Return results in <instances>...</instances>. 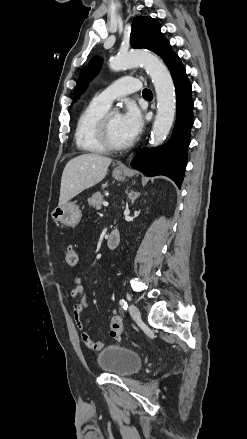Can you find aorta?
Instances as JSON below:
<instances>
[{
    "label": "aorta",
    "mask_w": 247,
    "mask_h": 439,
    "mask_svg": "<svg viewBox=\"0 0 247 439\" xmlns=\"http://www.w3.org/2000/svg\"><path fill=\"white\" fill-rule=\"evenodd\" d=\"M140 64L144 66L152 79L157 96V115L150 141L155 147L166 139L175 117V88L170 72L157 56L146 52L119 53L109 60V67L113 71H120Z\"/></svg>",
    "instance_id": "obj_1"
}]
</instances>
